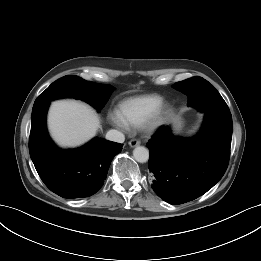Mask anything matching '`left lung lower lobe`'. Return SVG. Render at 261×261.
<instances>
[{
    "instance_id": "0a47b994",
    "label": "left lung lower lobe",
    "mask_w": 261,
    "mask_h": 261,
    "mask_svg": "<svg viewBox=\"0 0 261 261\" xmlns=\"http://www.w3.org/2000/svg\"><path fill=\"white\" fill-rule=\"evenodd\" d=\"M201 112L205 118L199 133L181 139L169 126L161 127L147 143L148 168L154 175L152 188L164 201L178 205L194 200L210 190L224 175L230 157L232 117L229 108L214 104V87L202 86Z\"/></svg>"
}]
</instances>
